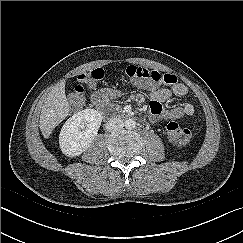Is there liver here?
Masks as SVG:
<instances>
[{
  "label": "liver",
  "mask_w": 243,
  "mask_h": 243,
  "mask_svg": "<svg viewBox=\"0 0 243 243\" xmlns=\"http://www.w3.org/2000/svg\"><path fill=\"white\" fill-rule=\"evenodd\" d=\"M69 111L65 84L59 83L47 95L41 110L39 127L44 138H49L54 128L66 118Z\"/></svg>",
  "instance_id": "6515ba94"
}]
</instances>
